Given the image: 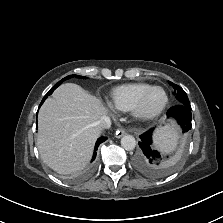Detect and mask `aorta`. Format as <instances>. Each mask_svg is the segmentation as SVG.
<instances>
[{
	"mask_svg": "<svg viewBox=\"0 0 223 223\" xmlns=\"http://www.w3.org/2000/svg\"><path fill=\"white\" fill-rule=\"evenodd\" d=\"M121 146L125 150H133L136 147V140L132 135H125L121 138Z\"/></svg>",
	"mask_w": 223,
	"mask_h": 223,
	"instance_id": "1",
	"label": "aorta"
}]
</instances>
